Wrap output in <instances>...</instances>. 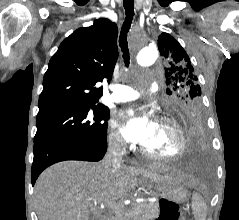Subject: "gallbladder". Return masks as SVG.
<instances>
[{"instance_id":"1","label":"gallbladder","mask_w":239,"mask_h":220,"mask_svg":"<svg viewBox=\"0 0 239 220\" xmlns=\"http://www.w3.org/2000/svg\"><path fill=\"white\" fill-rule=\"evenodd\" d=\"M89 220H96V219H95V217H94L93 215H91V216L89 217Z\"/></svg>"}]
</instances>
